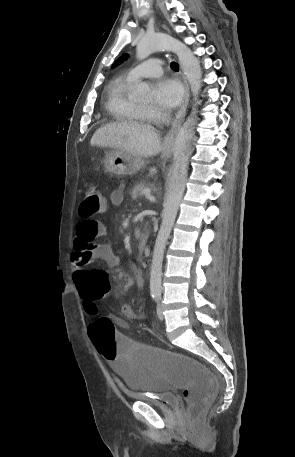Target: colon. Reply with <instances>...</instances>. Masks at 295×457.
<instances>
[{"label":"colon","mask_w":295,"mask_h":457,"mask_svg":"<svg viewBox=\"0 0 295 457\" xmlns=\"http://www.w3.org/2000/svg\"><path fill=\"white\" fill-rule=\"evenodd\" d=\"M107 207L106 200L97 183H90L79 206V214L89 218ZM110 293V274L101 269L87 271V285L81 295L86 309L95 314V301ZM90 338L96 355L113 363L128 362L129 366H139L140 372H160L166 383H176V390H183L187 403V415L196 419L209 403L214 390H217V375L205 369L204 363L182 357L181 351H165L164 346H137L129 341L127 330H115L114 323L104 317L97 318L90 326Z\"/></svg>","instance_id":"1"}]
</instances>
